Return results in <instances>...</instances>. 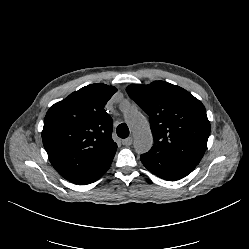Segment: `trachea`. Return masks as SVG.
<instances>
[{
  "mask_svg": "<svg viewBox=\"0 0 249 249\" xmlns=\"http://www.w3.org/2000/svg\"><path fill=\"white\" fill-rule=\"evenodd\" d=\"M117 135L120 138H127L129 136V129H128V126L125 123H121L117 127Z\"/></svg>",
  "mask_w": 249,
  "mask_h": 249,
  "instance_id": "1",
  "label": "trachea"
}]
</instances>
